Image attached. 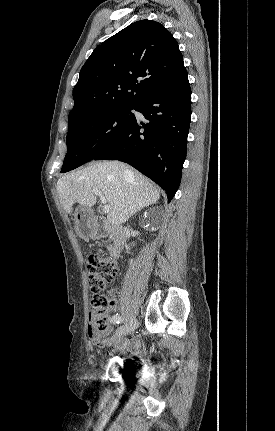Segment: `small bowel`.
Listing matches in <instances>:
<instances>
[{"instance_id":"c3829d8e","label":"small bowel","mask_w":275,"mask_h":431,"mask_svg":"<svg viewBox=\"0 0 275 431\" xmlns=\"http://www.w3.org/2000/svg\"><path fill=\"white\" fill-rule=\"evenodd\" d=\"M111 333V327H108L106 330L102 332H96L93 329H89V337L91 342L101 347L104 343V338L107 337ZM116 347L121 350H126L128 352H136L139 347L140 343L137 340H129L126 338L118 339L116 342Z\"/></svg>"}]
</instances>
